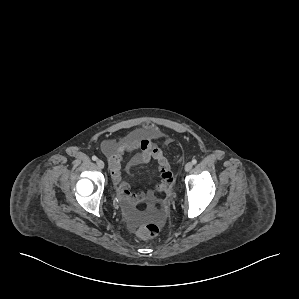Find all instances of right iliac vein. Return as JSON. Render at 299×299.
Returning <instances> with one entry per match:
<instances>
[{
    "mask_svg": "<svg viewBox=\"0 0 299 299\" xmlns=\"http://www.w3.org/2000/svg\"><path fill=\"white\" fill-rule=\"evenodd\" d=\"M96 164H97L98 168H100V169L104 168V162L102 160L98 159L96 161Z\"/></svg>",
    "mask_w": 299,
    "mask_h": 299,
    "instance_id": "1",
    "label": "right iliac vein"
}]
</instances>
